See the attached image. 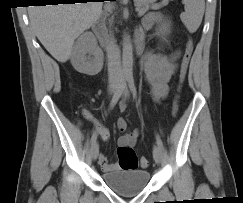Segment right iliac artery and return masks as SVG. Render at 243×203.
<instances>
[{
	"label": "right iliac artery",
	"instance_id": "right-iliac-artery-1",
	"mask_svg": "<svg viewBox=\"0 0 243 203\" xmlns=\"http://www.w3.org/2000/svg\"><path fill=\"white\" fill-rule=\"evenodd\" d=\"M126 86V80L125 78L123 77L122 80H121V83L119 85V88L118 90L115 92V94L113 95L111 101H110V104H109V110L113 109V107L117 104L119 98L121 97V94L124 90ZM96 139H97V133L95 132L92 137H91V143L94 144L96 142Z\"/></svg>",
	"mask_w": 243,
	"mask_h": 203
}]
</instances>
